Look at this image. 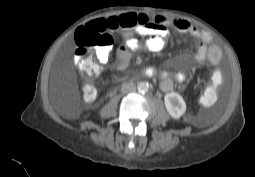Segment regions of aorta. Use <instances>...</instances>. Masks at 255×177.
Segmentation results:
<instances>
[{"label": "aorta", "mask_w": 255, "mask_h": 177, "mask_svg": "<svg viewBox=\"0 0 255 177\" xmlns=\"http://www.w3.org/2000/svg\"><path fill=\"white\" fill-rule=\"evenodd\" d=\"M137 87L140 92H147L149 90V85L146 82H139Z\"/></svg>", "instance_id": "aorta-1"}]
</instances>
